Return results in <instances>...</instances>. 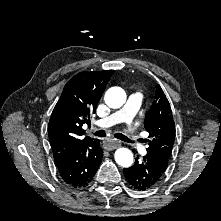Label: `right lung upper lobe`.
I'll return each mask as SVG.
<instances>
[{
    "label": "right lung upper lobe",
    "mask_w": 221,
    "mask_h": 221,
    "mask_svg": "<svg viewBox=\"0 0 221 221\" xmlns=\"http://www.w3.org/2000/svg\"><path fill=\"white\" fill-rule=\"evenodd\" d=\"M113 73V70L81 72L65 85L48 124L55 163H59L75 148L92 140L88 136L81 137L85 133L82 126L90 122V116L95 113Z\"/></svg>",
    "instance_id": "obj_1"
}]
</instances>
